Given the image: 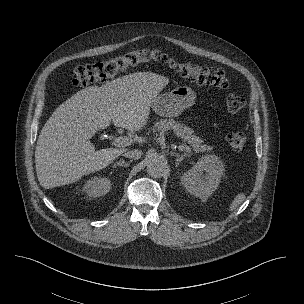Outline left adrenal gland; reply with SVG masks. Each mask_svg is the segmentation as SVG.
I'll list each match as a JSON object with an SVG mask.
<instances>
[{"instance_id": "1", "label": "left adrenal gland", "mask_w": 304, "mask_h": 304, "mask_svg": "<svg viewBox=\"0 0 304 304\" xmlns=\"http://www.w3.org/2000/svg\"><path fill=\"white\" fill-rule=\"evenodd\" d=\"M173 156L176 157V167H178L179 163L185 158V157H189L190 155L187 154V153H184V154H179V153H174L172 152L171 153Z\"/></svg>"}]
</instances>
